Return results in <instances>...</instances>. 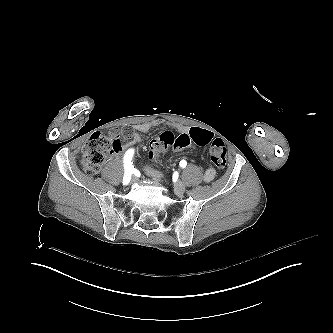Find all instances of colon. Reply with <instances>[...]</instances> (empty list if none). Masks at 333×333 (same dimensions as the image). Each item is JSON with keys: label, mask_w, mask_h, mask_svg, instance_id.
<instances>
[{"label": "colon", "mask_w": 333, "mask_h": 333, "mask_svg": "<svg viewBox=\"0 0 333 333\" xmlns=\"http://www.w3.org/2000/svg\"><path fill=\"white\" fill-rule=\"evenodd\" d=\"M185 134L178 139L170 130H163L152 138L149 144L148 155L150 158H158L166 150L172 153L183 151L187 143H192L196 149L202 150L210 147V159L218 169L226 166L227 149L222 139L216 138L215 131H202L193 126L185 127ZM133 132L131 128L124 126L119 131L112 130L109 133L101 131L92 134L82 150V163L89 174H96L101 169L106 157L115 152L122 141L131 140Z\"/></svg>", "instance_id": "obj_1"}]
</instances>
